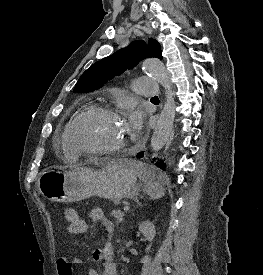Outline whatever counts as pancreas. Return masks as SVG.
<instances>
[{"label": "pancreas", "instance_id": "cf45deb5", "mask_svg": "<svg viewBox=\"0 0 263 275\" xmlns=\"http://www.w3.org/2000/svg\"><path fill=\"white\" fill-rule=\"evenodd\" d=\"M112 215L116 218L117 222H122L124 217V212H122L121 210H114L112 212Z\"/></svg>", "mask_w": 263, "mask_h": 275}]
</instances>
